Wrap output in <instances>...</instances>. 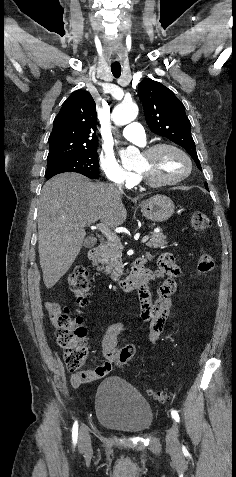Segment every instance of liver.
<instances>
[{
  "label": "liver",
  "mask_w": 236,
  "mask_h": 477,
  "mask_svg": "<svg viewBox=\"0 0 236 477\" xmlns=\"http://www.w3.org/2000/svg\"><path fill=\"white\" fill-rule=\"evenodd\" d=\"M122 192L76 173L47 181L38 208V249L45 286L52 288L69 270L83 245L84 227L100 220L115 228L126 220Z\"/></svg>",
  "instance_id": "obj_1"
}]
</instances>
